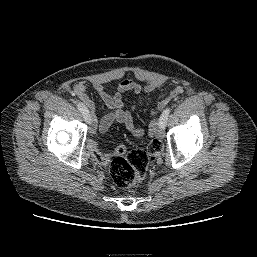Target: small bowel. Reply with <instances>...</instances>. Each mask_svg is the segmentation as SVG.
I'll return each instance as SVG.
<instances>
[{
    "label": "small bowel",
    "mask_w": 257,
    "mask_h": 257,
    "mask_svg": "<svg viewBox=\"0 0 257 257\" xmlns=\"http://www.w3.org/2000/svg\"><path fill=\"white\" fill-rule=\"evenodd\" d=\"M161 85L162 81L160 80H152L146 85H141L140 83L131 79H123L117 84L115 90L110 93L102 84H93V90L106 105V110L99 120L95 116L96 105L87 94V91L90 88L89 84L85 81H80L73 86V92L81 103L90 110L94 116V125L100 132L107 130L112 123L117 122L123 124L133 136L141 138L144 136V131L134 123L131 111L125 109L123 95L127 92H133L136 94L142 92L149 93L156 90ZM182 91L183 89L181 86H173L167 92L161 94L158 97L156 104L151 108L152 116L156 117L158 113L172 99L182 93ZM155 130L156 120H154L151 124L150 134L155 135ZM105 161L106 160L102 161L101 163H104Z\"/></svg>",
    "instance_id": "c3829d8e"
}]
</instances>
